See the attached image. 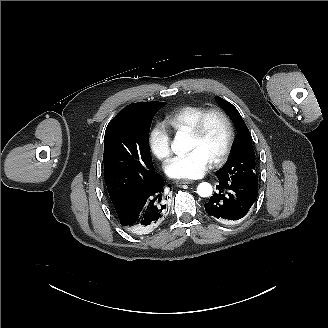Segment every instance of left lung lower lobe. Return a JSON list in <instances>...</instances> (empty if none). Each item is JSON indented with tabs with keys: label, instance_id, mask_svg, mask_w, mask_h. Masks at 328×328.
Here are the masks:
<instances>
[{
	"label": "left lung lower lobe",
	"instance_id": "left-lung-lower-lobe-1",
	"mask_svg": "<svg viewBox=\"0 0 328 328\" xmlns=\"http://www.w3.org/2000/svg\"><path fill=\"white\" fill-rule=\"evenodd\" d=\"M216 175L219 191L204 204L207 214L221 223L243 218L257 199L258 181Z\"/></svg>",
	"mask_w": 328,
	"mask_h": 328
}]
</instances>
